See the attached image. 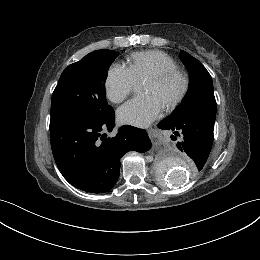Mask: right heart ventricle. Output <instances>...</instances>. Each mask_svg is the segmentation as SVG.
I'll return each instance as SVG.
<instances>
[{
  "instance_id": "right-heart-ventricle-1",
  "label": "right heart ventricle",
  "mask_w": 260,
  "mask_h": 260,
  "mask_svg": "<svg viewBox=\"0 0 260 260\" xmlns=\"http://www.w3.org/2000/svg\"><path fill=\"white\" fill-rule=\"evenodd\" d=\"M127 63L135 82L147 80L165 70L178 68L173 58L158 50L135 52L128 57Z\"/></svg>"
}]
</instances>
